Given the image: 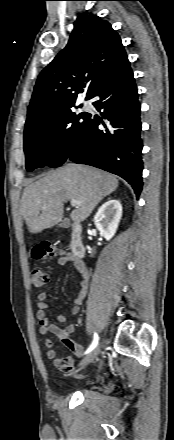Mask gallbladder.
I'll return each instance as SVG.
<instances>
[{
    "label": "gallbladder",
    "instance_id": "1",
    "mask_svg": "<svg viewBox=\"0 0 174 440\" xmlns=\"http://www.w3.org/2000/svg\"><path fill=\"white\" fill-rule=\"evenodd\" d=\"M69 224H70V222H69L68 219H63V220L61 221V223L59 224V227L67 228V227H69Z\"/></svg>",
    "mask_w": 174,
    "mask_h": 440
}]
</instances>
